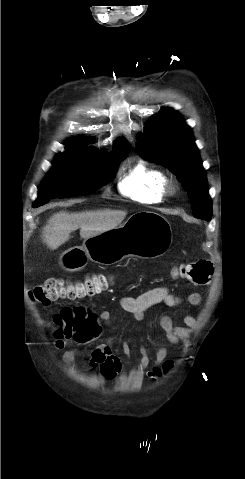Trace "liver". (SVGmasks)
Here are the masks:
<instances>
[{"label":"liver","instance_id":"1","mask_svg":"<svg viewBox=\"0 0 245 479\" xmlns=\"http://www.w3.org/2000/svg\"><path fill=\"white\" fill-rule=\"evenodd\" d=\"M126 215V211L110 209L81 213L60 211L49 218L42 229V238L50 249L55 250L77 229H80L81 238L86 240L117 228Z\"/></svg>","mask_w":245,"mask_h":479}]
</instances>
